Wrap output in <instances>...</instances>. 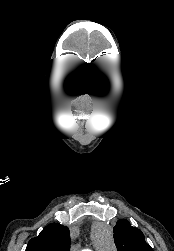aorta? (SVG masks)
<instances>
[{
  "label": "aorta",
  "mask_w": 174,
  "mask_h": 251,
  "mask_svg": "<svg viewBox=\"0 0 174 251\" xmlns=\"http://www.w3.org/2000/svg\"><path fill=\"white\" fill-rule=\"evenodd\" d=\"M106 245H107L108 249L111 248V238H110V235H109L108 232H107V235H106ZM83 251H90V250H83Z\"/></svg>",
  "instance_id": "aorta-1"
}]
</instances>
